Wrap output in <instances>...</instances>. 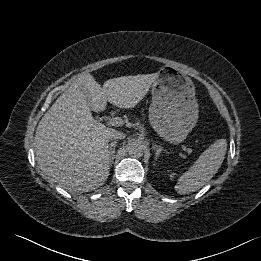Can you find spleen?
Returning <instances> with one entry per match:
<instances>
[{"label":"spleen","instance_id":"1","mask_svg":"<svg viewBox=\"0 0 261 261\" xmlns=\"http://www.w3.org/2000/svg\"><path fill=\"white\" fill-rule=\"evenodd\" d=\"M227 142L219 139L206 149L194 164L183 173L175 185L179 194H189L203 187L217 173L226 154Z\"/></svg>","mask_w":261,"mask_h":261}]
</instances>
